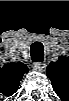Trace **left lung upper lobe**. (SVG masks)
<instances>
[{
  "label": "left lung upper lobe",
  "mask_w": 69,
  "mask_h": 101,
  "mask_svg": "<svg viewBox=\"0 0 69 101\" xmlns=\"http://www.w3.org/2000/svg\"><path fill=\"white\" fill-rule=\"evenodd\" d=\"M47 76L57 95L65 91L69 83V58L61 56L57 62H51L47 67Z\"/></svg>",
  "instance_id": "1"
}]
</instances>
